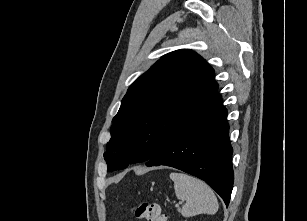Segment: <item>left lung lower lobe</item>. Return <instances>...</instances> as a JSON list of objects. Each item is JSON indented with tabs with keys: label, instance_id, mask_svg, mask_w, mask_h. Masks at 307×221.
Masks as SVG:
<instances>
[{
	"label": "left lung lower lobe",
	"instance_id": "left-lung-lower-lobe-1",
	"mask_svg": "<svg viewBox=\"0 0 307 221\" xmlns=\"http://www.w3.org/2000/svg\"><path fill=\"white\" fill-rule=\"evenodd\" d=\"M226 117L220 98L166 142L146 166L167 165L194 175L210 185L228 206L234 174Z\"/></svg>",
	"mask_w": 307,
	"mask_h": 221
}]
</instances>
